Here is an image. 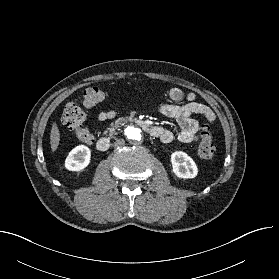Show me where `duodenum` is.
Masks as SVG:
<instances>
[{
	"label": "duodenum",
	"instance_id": "obj_1",
	"mask_svg": "<svg viewBox=\"0 0 279 279\" xmlns=\"http://www.w3.org/2000/svg\"><path fill=\"white\" fill-rule=\"evenodd\" d=\"M128 123H135L139 125L143 131L152 136H156L158 134V128L156 126L151 125L148 121L144 119L136 117H126L119 122V125H125ZM110 143L111 141L108 137H102L97 141L96 148L100 152H105L109 149Z\"/></svg>",
	"mask_w": 279,
	"mask_h": 279
}]
</instances>
